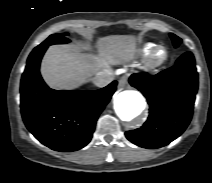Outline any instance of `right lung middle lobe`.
<instances>
[{
	"label": "right lung middle lobe",
	"mask_w": 212,
	"mask_h": 183,
	"mask_svg": "<svg viewBox=\"0 0 212 183\" xmlns=\"http://www.w3.org/2000/svg\"><path fill=\"white\" fill-rule=\"evenodd\" d=\"M66 33H61V34H53L50 37H48L43 43H41L40 45L43 44H48V45H52V44H64V43H68L69 40L67 38H65L64 36H66Z\"/></svg>",
	"instance_id": "1"
}]
</instances>
